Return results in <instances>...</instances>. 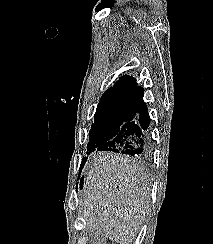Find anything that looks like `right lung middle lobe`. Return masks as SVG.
<instances>
[{
  "label": "right lung middle lobe",
  "mask_w": 213,
  "mask_h": 244,
  "mask_svg": "<svg viewBox=\"0 0 213 244\" xmlns=\"http://www.w3.org/2000/svg\"><path fill=\"white\" fill-rule=\"evenodd\" d=\"M136 107V98L117 96L101 99L94 115V124L89 132L87 151L114 138L122 125L129 120Z\"/></svg>",
  "instance_id": "dd1d6c3e"
}]
</instances>
